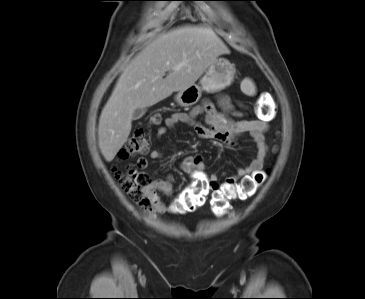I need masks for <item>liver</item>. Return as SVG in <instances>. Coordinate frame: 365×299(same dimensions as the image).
I'll list each match as a JSON object with an SVG mask.
<instances>
[{"label":"liver","instance_id":"6515ba94","mask_svg":"<svg viewBox=\"0 0 365 299\" xmlns=\"http://www.w3.org/2000/svg\"><path fill=\"white\" fill-rule=\"evenodd\" d=\"M229 53L206 25L180 26L149 43L123 70L100 115L98 145L105 160L111 162L127 141L134 110L194 85L220 55Z\"/></svg>","mask_w":365,"mask_h":299}]
</instances>
